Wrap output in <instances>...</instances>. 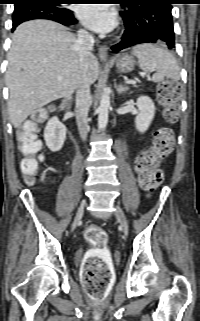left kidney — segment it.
Segmentation results:
<instances>
[{"label":"left kidney","mask_w":200,"mask_h":321,"mask_svg":"<svg viewBox=\"0 0 200 321\" xmlns=\"http://www.w3.org/2000/svg\"><path fill=\"white\" fill-rule=\"evenodd\" d=\"M138 114L135 118V127L140 133L149 128L155 114V106L148 96H140L137 99Z\"/></svg>","instance_id":"1"}]
</instances>
